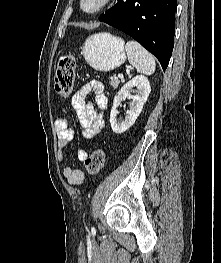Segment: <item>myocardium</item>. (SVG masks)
<instances>
[{
    "mask_svg": "<svg viewBox=\"0 0 221 263\" xmlns=\"http://www.w3.org/2000/svg\"><path fill=\"white\" fill-rule=\"evenodd\" d=\"M113 1L114 0H100L99 4L93 9H88L85 7L86 0H80L79 5L84 13L93 15L98 14L107 9L113 3Z\"/></svg>",
    "mask_w": 221,
    "mask_h": 263,
    "instance_id": "obj_1",
    "label": "myocardium"
}]
</instances>
